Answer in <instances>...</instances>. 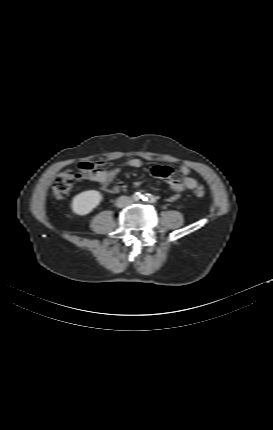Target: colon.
<instances>
[{
	"mask_svg": "<svg viewBox=\"0 0 273 430\" xmlns=\"http://www.w3.org/2000/svg\"><path fill=\"white\" fill-rule=\"evenodd\" d=\"M83 179L80 172L65 171L59 173L54 177L52 181V189L55 197L57 199L66 198L74 186ZM206 193V189L202 185H198L194 189V194L196 197H203Z\"/></svg>",
	"mask_w": 273,
	"mask_h": 430,
	"instance_id": "colon-1",
	"label": "colon"
}]
</instances>
